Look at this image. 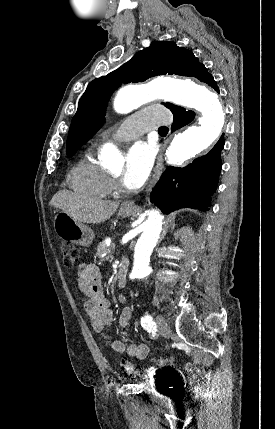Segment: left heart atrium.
Returning a JSON list of instances; mask_svg holds the SVG:
<instances>
[{
	"instance_id": "1",
	"label": "left heart atrium",
	"mask_w": 275,
	"mask_h": 429,
	"mask_svg": "<svg viewBox=\"0 0 275 429\" xmlns=\"http://www.w3.org/2000/svg\"><path fill=\"white\" fill-rule=\"evenodd\" d=\"M154 147L144 141L134 143L128 150L122 177L123 184L129 189L143 185L152 168Z\"/></svg>"
}]
</instances>
